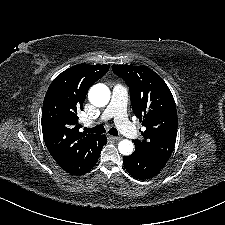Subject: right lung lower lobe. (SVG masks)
Wrapping results in <instances>:
<instances>
[{
	"label": "right lung lower lobe",
	"mask_w": 225,
	"mask_h": 225,
	"mask_svg": "<svg viewBox=\"0 0 225 225\" xmlns=\"http://www.w3.org/2000/svg\"><path fill=\"white\" fill-rule=\"evenodd\" d=\"M103 138H104V140H105V144H106V142H107V138H106V136H105V135H103Z\"/></svg>",
	"instance_id": "1"
}]
</instances>
